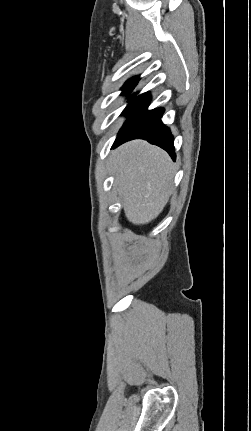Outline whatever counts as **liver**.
<instances>
[{"label": "liver", "mask_w": 251, "mask_h": 431, "mask_svg": "<svg viewBox=\"0 0 251 431\" xmlns=\"http://www.w3.org/2000/svg\"><path fill=\"white\" fill-rule=\"evenodd\" d=\"M109 170L130 222L143 225L158 217L172 193L175 173L165 151L142 140L127 142L111 152Z\"/></svg>", "instance_id": "1"}]
</instances>
